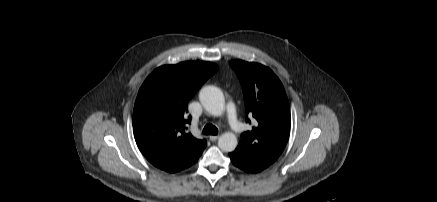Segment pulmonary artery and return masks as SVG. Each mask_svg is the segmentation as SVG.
<instances>
[{
    "label": "pulmonary artery",
    "mask_w": 437,
    "mask_h": 202,
    "mask_svg": "<svg viewBox=\"0 0 437 202\" xmlns=\"http://www.w3.org/2000/svg\"><path fill=\"white\" fill-rule=\"evenodd\" d=\"M227 120L233 131L239 132L242 130V125L237 120L235 108L231 102L227 104Z\"/></svg>",
    "instance_id": "obj_1"
}]
</instances>
